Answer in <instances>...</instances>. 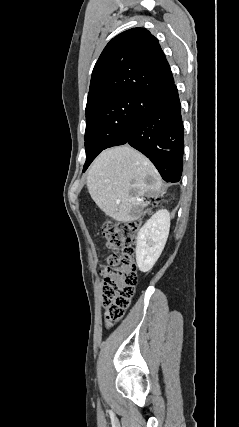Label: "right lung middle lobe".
Returning a JSON list of instances; mask_svg holds the SVG:
<instances>
[{
  "label": "right lung middle lobe",
  "instance_id": "right-lung-middle-lobe-1",
  "mask_svg": "<svg viewBox=\"0 0 239 427\" xmlns=\"http://www.w3.org/2000/svg\"><path fill=\"white\" fill-rule=\"evenodd\" d=\"M140 99L141 96L126 95L97 101L86 107V162L83 172L102 150L120 145L127 138Z\"/></svg>",
  "mask_w": 239,
  "mask_h": 427
}]
</instances>
